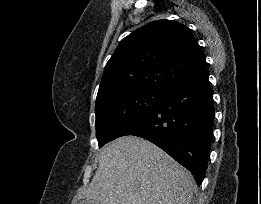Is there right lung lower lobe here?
<instances>
[{
    "label": "right lung lower lobe",
    "instance_id": "1",
    "mask_svg": "<svg viewBox=\"0 0 261 204\" xmlns=\"http://www.w3.org/2000/svg\"><path fill=\"white\" fill-rule=\"evenodd\" d=\"M214 113L213 93L204 63L170 86L158 104L121 136L135 135L154 143L191 171L200 185L207 168Z\"/></svg>",
    "mask_w": 261,
    "mask_h": 204
}]
</instances>
